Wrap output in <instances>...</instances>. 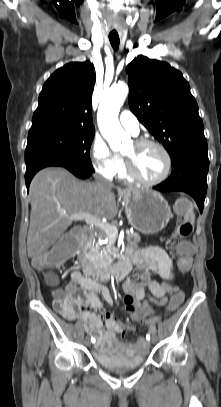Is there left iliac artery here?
<instances>
[{
    "instance_id": "1",
    "label": "left iliac artery",
    "mask_w": 221,
    "mask_h": 407,
    "mask_svg": "<svg viewBox=\"0 0 221 407\" xmlns=\"http://www.w3.org/2000/svg\"><path fill=\"white\" fill-rule=\"evenodd\" d=\"M155 332H156V330L153 328V329H152V334L154 335ZM146 337H147V339H150V335H147Z\"/></svg>"
}]
</instances>
